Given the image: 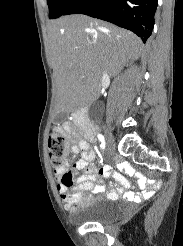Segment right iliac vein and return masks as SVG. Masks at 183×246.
<instances>
[{
	"label": "right iliac vein",
	"instance_id": "right-iliac-vein-1",
	"mask_svg": "<svg viewBox=\"0 0 183 246\" xmlns=\"http://www.w3.org/2000/svg\"><path fill=\"white\" fill-rule=\"evenodd\" d=\"M105 139H106L108 150H111L113 147V139L111 133L107 129L105 130Z\"/></svg>",
	"mask_w": 183,
	"mask_h": 246
}]
</instances>
